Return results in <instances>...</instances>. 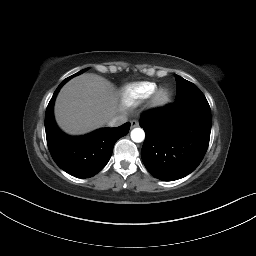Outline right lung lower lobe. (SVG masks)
<instances>
[{
	"instance_id": "1",
	"label": "right lung lower lobe",
	"mask_w": 256,
	"mask_h": 256,
	"mask_svg": "<svg viewBox=\"0 0 256 256\" xmlns=\"http://www.w3.org/2000/svg\"><path fill=\"white\" fill-rule=\"evenodd\" d=\"M65 82L55 90L45 114V131L49 151L55 163L77 178H90L108 163L115 142L126 135L130 123L116 128H102L81 137L64 134L53 117L55 98Z\"/></svg>"
}]
</instances>
